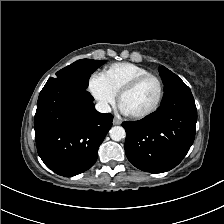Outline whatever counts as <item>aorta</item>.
Listing matches in <instances>:
<instances>
[{
    "instance_id": "aorta-1",
    "label": "aorta",
    "mask_w": 224,
    "mask_h": 224,
    "mask_svg": "<svg viewBox=\"0 0 224 224\" xmlns=\"http://www.w3.org/2000/svg\"><path fill=\"white\" fill-rule=\"evenodd\" d=\"M110 138L114 141H120L125 138L126 133L123 127L114 126L109 131Z\"/></svg>"
}]
</instances>
